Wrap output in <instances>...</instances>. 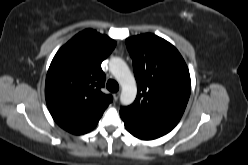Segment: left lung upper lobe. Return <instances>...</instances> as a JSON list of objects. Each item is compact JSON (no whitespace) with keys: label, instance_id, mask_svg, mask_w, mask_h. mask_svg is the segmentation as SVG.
Listing matches in <instances>:
<instances>
[{"label":"left lung upper lobe","instance_id":"left-lung-upper-lobe-1","mask_svg":"<svg viewBox=\"0 0 248 165\" xmlns=\"http://www.w3.org/2000/svg\"><path fill=\"white\" fill-rule=\"evenodd\" d=\"M133 59L138 93L124 114L146 124L171 131L186 108L191 80L178 50L168 41L143 34L126 39Z\"/></svg>","mask_w":248,"mask_h":165}]
</instances>
